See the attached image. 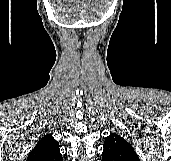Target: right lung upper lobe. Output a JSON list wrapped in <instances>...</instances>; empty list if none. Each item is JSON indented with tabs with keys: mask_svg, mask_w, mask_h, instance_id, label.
I'll return each mask as SVG.
<instances>
[{
	"mask_svg": "<svg viewBox=\"0 0 171 161\" xmlns=\"http://www.w3.org/2000/svg\"><path fill=\"white\" fill-rule=\"evenodd\" d=\"M62 159L59 143L52 135L47 134L38 141L26 161H62Z\"/></svg>",
	"mask_w": 171,
	"mask_h": 161,
	"instance_id": "1",
	"label": "right lung upper lobe"
}]
</instances>
